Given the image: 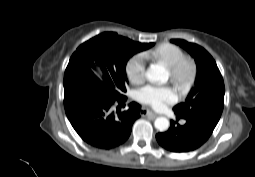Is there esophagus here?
I'll use <instances>...</instances> for the list:
<instances>
[{
    "mask_svg": "<svg viewBox=\"0 0 255 177\" xmlns=\"http://www.w3.org/2000/svg\"><path fill=\"white\" fill-rule=\"evenodd\" d=\"M140 114H141L142 116H151V117H154V118L158 116L157 113H155V112H153V111H151V110H149V109H146V108H142V109L140 110Z\"/></svg>",
    "mask_w": 255,
    "mask_h": 177,
    "instance_id": "34e87169",
    "label": "esophagus"
}]
</instances>
